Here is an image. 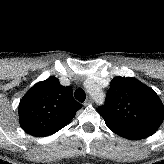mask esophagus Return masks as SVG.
<instances>
[{
  "label": "esophagus",
  "mask_w": 164,
  "mask_h": 164,
  "mask_svg": "<svg viewBox=\"0 0 164 164\" xmlns=\"http://www.w3.org/2000/svg\"><path fill=\"white\" fill-rule=\"evenodd\" d=\"M93 103V99L91 97H88V99L85 101V105H89Z\"/></svg>",
  "instance_id": "obj_1"
}]
</instances>
